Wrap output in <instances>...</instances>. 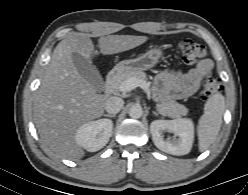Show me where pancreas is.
I'll use <instances>...</instances> for the list:
<instances>
[{"label":"pancreas","mask_w":248,"mask_h":195,"mask_svg":"<svg viewBox=\"0 0 248 195\" xmlns=\"http://www.w3.org/2000/svg\"><path fill=\"white\" fill-rule=\"evenodd\" d=\"M131 78H136L143 81L147 80V76L144 72L135 71V72L121 74L116 78L115 81L112 82L111 86L114 89H118L123 82ZM156 109L160 114L172 118H179L182 115H186L188 112V110L183 105L175 101H169L163 104H157Z\"/></svg>","instance_id":"1"}]
</instances>
